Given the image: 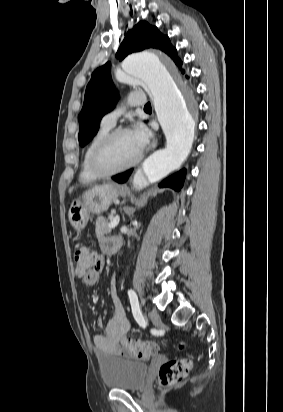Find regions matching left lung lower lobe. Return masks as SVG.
I'll list each match as a JSON object with an SVG mask.
<instances>
[{"label": "left lung lower lobe", "mask_w": 283, "mask_h": 412, "mask_svg": "<svg viewBox=\"0 0 283 412\" xmlns=\"http://www.w3.org/2000/svg\"><path fill=\"white\" fill-rule=\"evenodd\" d=\"M132 170L126 171L124 173L115 175L112 177L113 180L123 183L125 182L129 175L131 174ZM186 175V170L182 169L179 172L173 174L172 176L168 177L167 179L163 180L160 184L159 187H170L174 189L175 191H180V189L183 186L184 179Z\"/></svg>", "instance_id": "left-lung-lower-lobe-1"}]
</instances>
